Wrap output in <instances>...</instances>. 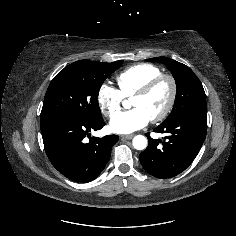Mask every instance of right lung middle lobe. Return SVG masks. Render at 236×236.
I'll return each instance as SVG.
<instances>
[{"instance_id":"obj_1","label":"right lung middle lobe","mask_w":236,"mask_h":236,"mask_svg":"<svg viewBox=\"0 0 236 236\" xmlns=\"http://www.w3.org/2000/svg\"><path fill=\"white\" fill-rule=\"evenodd\" d=\"M122 63V60L113 63L80 60L65 67L47 89L40 122L57 115H71L88 121L102 119L99 90Z\"/></svg>"}]
</instances>
